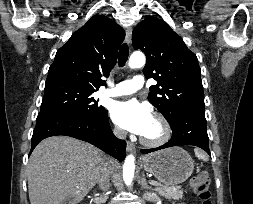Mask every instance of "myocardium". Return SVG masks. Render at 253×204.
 Listing matches in <instances>:
<instances>
[{
  "label": "myocardium",
  "instance_id": "1",
  "mask_svg": "<svg viewBox=\"0 0 253 204\" xmlns=\"http://www.w3.org/2000/svg\"><path fill=\"white\" fill-rule=\"evenodd\" d=\"M153 118L161 126L162 133L159 138L154 139V140L147 139L143 136L140 137V142L144 146L149 147V148H157V147L163 146L170 140L171 135H172L171 126L169 122L163 116L155 115Z\"/></svg>",
  "mask_w": 253,
  "mask_h": 204
}]
</instances>
